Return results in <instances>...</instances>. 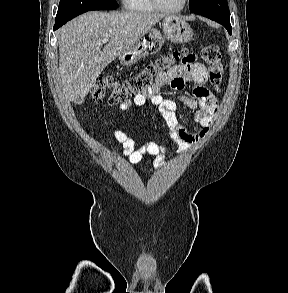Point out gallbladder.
<instances>
[{
  "label": "gallbladder",
  "instance_id": "1",
  "mask_svg": "<svg viewBox=\"0 0 288 293\" xmlns=\"http://www.w3.org/2000/svg\"><path fill=\"white\" fill-rule=\"evenodd\" d=\"M83 102H84L83 98H78V99L74 100V103L78 104V105L82 104Z\"/></svg>",
  "mask_w": 288,
  "mask_h": 293
}]
</instances>
